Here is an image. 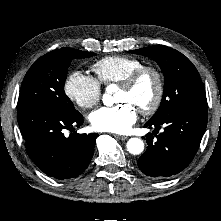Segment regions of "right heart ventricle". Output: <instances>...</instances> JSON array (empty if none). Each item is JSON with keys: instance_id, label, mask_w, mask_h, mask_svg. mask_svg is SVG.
Masks as SVG:
<instances>
[{"instance_id": "e07e8e85", "label": "right heart ventricle", "mask_w": 221, "mask_h": 221, "mask_svg": "<svg viewBox=\"0 0 221 221\" xmlns=\"http://www.w3.org/2000/svg\"><path fill=\"white\" fill-rule=\"evenodd\" d=\"M143 66V62L129 56H108L92 65V70L100 84L120 83L134 70Z\"/></svg>"}]
</instances>
